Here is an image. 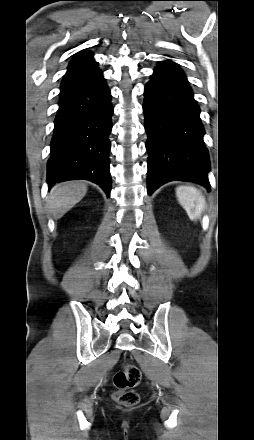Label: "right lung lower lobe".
I'll use <instances>...</instances> for the list:
<instances>
[{
  "instance_id": "1",
  "label": "right lung lower lobe",
  "mask_w": 254,
  "mask_h": 440,
  "mask_svg": "<svg viewBox=\"0 0 254 440\" xmlns=\"http://www.w3.org/2000/svg\"><path fill=\"white\" fill-rule=\"evenodd\" d=\"M110 96L94 60L67 71L47 163L49 188L60 181L86 179L110 195Z\"/></svg>"
}]
</instances>
